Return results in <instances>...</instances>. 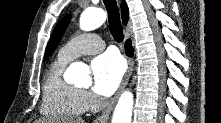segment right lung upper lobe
Returning <instances> with one entry per match:
<instances>
[{"instance_id":"cb5924a9","label":"right lung upper lobe","mask_w":221,"mask_h":123,"mask_svg":"<svg viewBox=\"0 0 221 123\" xmlns=\"http://www.w3.org/2000/svg\"><path fill=\"white\" fill-rule=\"evenodd\" d=\"M121 17H122L123 23L126 25L129 19V12H128V7H127L125 0H122L121 2Z\"/></svg>"}]
</instances>
